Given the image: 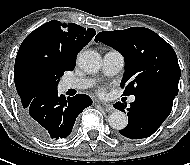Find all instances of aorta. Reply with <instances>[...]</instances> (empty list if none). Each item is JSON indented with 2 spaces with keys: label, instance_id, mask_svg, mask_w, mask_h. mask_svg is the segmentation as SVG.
Returning <instances> with one entry per match:
<instances>
[{
  "label": "aorta",
  "instance_id": "obj_1",
  "mask_svg": "<svg viewBox=\"0 0 190 165\" xmlns=\"http://www.w3.org/2000/svg\"><path fill=\"white\" fill-rule=\"evenodd\" d=\"M78 64L86 73H96L101 67V57L93 50H85L78 56ZM108 123L113 129H124L128 124V118L122 111L116 110L108 117Z\"/></svg>",
  "mask_w": 190,
  "mask_h": 165
}]
</instances>
